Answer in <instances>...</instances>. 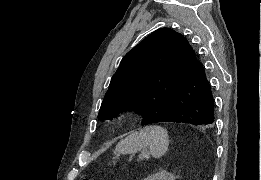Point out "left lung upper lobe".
Segmentation results:
<instances>
[{
  "label": "left lung upper lobe",
  "instance_id": "left-lung-upper-lobe-1",
  "mask_svg": "<svg viewBox=\"0 0 261 180\" xmlns=\"http://www.w3.org/2000/svg\"><path fill=\"white\" fill-rule=\"evenodd\" d=\"M196 63L195 52L183 35L170 28L154 31L122 59L98 118L111 119L130 109L143 116V126L153 123Z\"/></svg>",
  "mask_w": 261,
  "mask_h": 180
}]
</instances>
